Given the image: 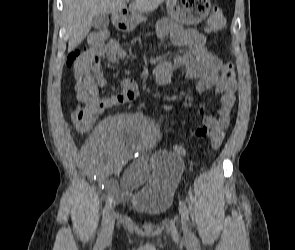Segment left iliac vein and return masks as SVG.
I'll return each instance as SVG.
<instances>
[{
  "instance_id": "left-iliac-vein-1",
  "label": "left iliac vein",
  "mask_w": 295,
  "mask_h": 250,
  "mask_svg": "<svg viewBox=\"0 0 295 250\" xmlns=\"http://www.w3.org/2000/svg\"><path fill=\"white\" fill-rule=\"evenodd\" d=\"M180 213H181V226H182V231H183L184 237L186 239H190L191 233L188 228V223H187L186 217H185L184 212L181 208H180Z\"/></svg>"
}]
</instances>
